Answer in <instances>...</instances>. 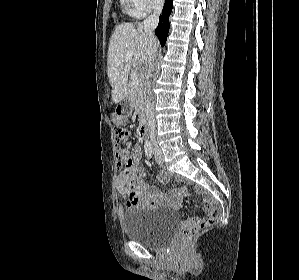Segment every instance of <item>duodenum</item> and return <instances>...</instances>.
Returning a JSON list of instances; mask_svg holds the SVG:
<instances>
[{
  "instance_id": "1",
  "label": "duodenum",
  "mask_w": 299,
  "mask_h": 280,
  "mask_svg": "<svg viewBox=\"0 0 299 280\" xmlns=\"http://www.w3.org/2000/svg\"><path fill=\"white\" fill-rule=\"evenodd\" d=\"M148 133V123L146 120H143L139 127V136L141 139L146 138Z\"/></svg>"
}]
</instances>
